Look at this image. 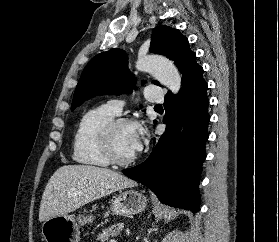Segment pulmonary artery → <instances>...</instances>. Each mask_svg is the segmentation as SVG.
<instances>
[{
	"mask_svg": "<svg viewBox=\"0 0 279 242\" xmlns=\"http://www.w3.org/2000/svg\"><path fill=\"white\" fill-rule=\"evenodd\" d=\"M145 97L149 102L160 103L163 101V92L160 86L149 85L145 88ZM107 107L116 115H118L123 107V102L113 99L108 102Z\"/></svg>",
	"mask_w": 279,
	"mask_h": 242,
	"instance_id": "pulmonary-artery-1",
	"label": "pulmonary artery"
}]
</instances>
